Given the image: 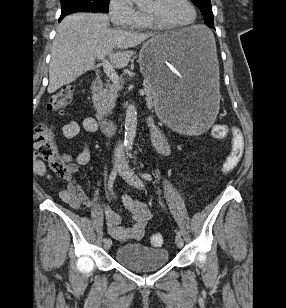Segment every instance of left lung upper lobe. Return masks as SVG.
<instances>
[{"mask_svg":"<svg viewBox=\"0 0 286 308\" xmlns=\"http://www.w3.org/2000/svg\"><path fill=\"white\" fill-rule=\"evenodd\" d=\"M198 8L205 18V24L214 28V18L210 0H191Z\"/></svg>","mask_w":286,"mask_h":308,"instance_id":"obj_1","label":"left lung upper lobe"}]
</instances>
